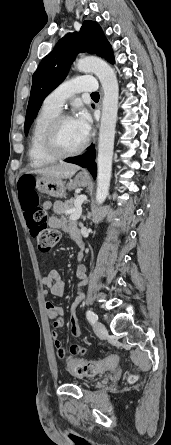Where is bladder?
I'll list each match as a JSON object with an SVG mask.
<instances>
[{"label":"bladder","mask_w":171,"mask_h":445,"mask_svg":"<svg viewBox=\"0 0 171 445\" xmlns=\"http://www.w3.org/2000/svg\"><path fill=\"white\" fill-rule=\"evenodd\" d=\"M94 380H95L94 378L84 379V380H82L81 384L87 385V384L91 383Z\"/></svg>","instance_id":"obj_1"}]
</instances>
